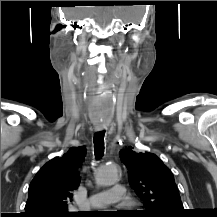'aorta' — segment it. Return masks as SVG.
Segmentation results:
<instances>
[{"mask_svg": "<svg viewBox=\"0 0 217 217\" xmlns=\"http://www.w3.org/2000/svg\"><path fill=\"white\" fill-rule=\"evenodd\" d=\"M118 180V168L116 165L101 166L96 175V183L100 186L113 185Z\"/></svg>", "mask_w": 217, "mask_h": 217, "instance_id": "aorta-1", "label": "aorta"}]
</instances>
